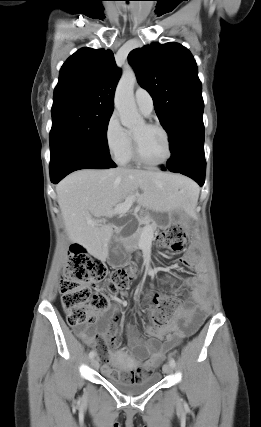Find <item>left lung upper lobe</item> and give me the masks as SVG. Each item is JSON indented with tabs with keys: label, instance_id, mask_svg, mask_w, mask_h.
<instances>
[{
	"label": "left lung upper lobe",
	"instance_id": "left-lung-upper-lobe-1",
	"mask_svg": "<svg viewBox=\"0 0 261 427\" xmlns=\"http://www.w3.org/2000/svg\"><path fill=\"white\" fill-rule=\"evenodd\" d=\"M141 87L153 98L160 123L171 138L192 120H203L204 102L197 64L184 46L153 43L129 54Z\"/></svg>",
	"mask_w": 261,
	"mask_h": 427
}]
</instances>
